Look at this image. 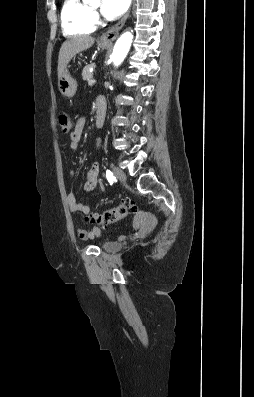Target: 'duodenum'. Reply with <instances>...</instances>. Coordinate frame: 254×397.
Masks as SVG:
<instances>
[{
  "label": "duodenum",
  "instance_id": "duodenum-1",
  "mask_svg": "<svg viewBox=\"0 0 254 397\" xmlns=\"http://www.w3.org/2000/svg\"><path fill=\"white\" fill-rule=\"evenodd\" d=\"M106 111H107L106 100L104 97L101 96L97 99V104H96V113H95L96 127L98 128L102 127L105 120Z\"/></svg>",
  "mask_w": 254,
  "mask_h": 397
}]
</instances>
